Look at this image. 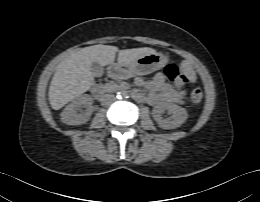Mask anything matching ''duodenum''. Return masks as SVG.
Segmentation results:
<instances>
[{
	"mask_svg": "<svg viewBox=\"0 0 260 202\" xmlns=\"http://www.w3.org/2000/svg\"><path fill=\"white\" fill-rule=\"evenodd\" d=\"M110 75L112 77H118L122 75V69L120 67L113 66L110 69ZM92 90L94 91L96 96H102L103 94L102 90L98 89L97 87H93ZM132 95L137 99H141V95L139 92L133 91Z\"/></svg>",
	"mask_w": 260,
	"mask_h": 202,
	"instance_id": "410a0bca",
	"label": "duodenum"
}]
</instances>
